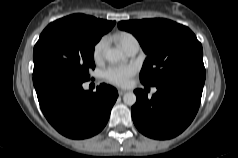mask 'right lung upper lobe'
<instances>
[{"mask_svg": "<svg viewBox=\"0 0 238 158\" xmlns=\"http://www.w3.org/2000/svg\"><path fill=\"white\" fill-rule=\"evenodd\" d=\"M61 20L80 22L102 34L109 32L115 25V21L97 19L84 14H73L62 18Z\"/></svg>", "mask_w": 238, "mask_h": 158, "instance_id": "obj_1", "label": "right lung upper lobe"}]
</instances>
